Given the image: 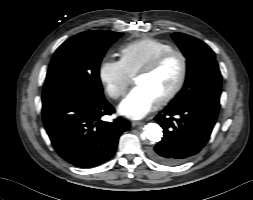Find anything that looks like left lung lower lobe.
Here are the masks:
<instances>
[{"instance_id":"1","label":"left lung lower lobe","mask_w":253,"mask_h":200,"mask_svg":"<svg viewBox=\"0 0 253 200\" xmlns=\"http://www.w3.org/2000/svg\"><path fill=\"white\" fill-rule=\"evenodd\" d=\"M219 108V100L212 98H201L187 105H168L155 117L164 136L150 150L151 158L176 165L197 154L210 138Z\"/></svg>"}]
</instances>
